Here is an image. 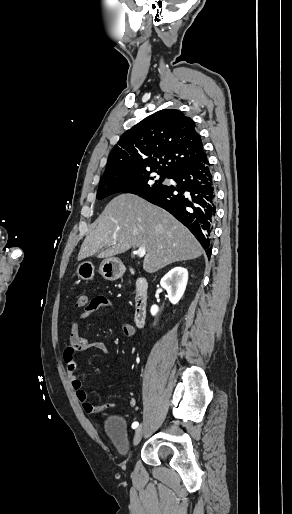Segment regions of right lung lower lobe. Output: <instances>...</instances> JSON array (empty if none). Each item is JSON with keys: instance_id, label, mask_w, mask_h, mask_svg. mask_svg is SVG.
Returning <instances> with one entry per match:
<instances>
[{"instance_id": "1", "label": "right lung lower lobe", "mask_w": 292, "mask_h": 514, "mask_svg": "<svg viewBox=\"0 0 292 514\" xmlns=\"http://www.w3.org/2000/svg\"><path fill=\"white\" fill-rule=\"evenodd\" d=\"M177 185H165L142 196L183 223L211 255L210 235L215 218V189L207 156L170 174Z\"/></svg>"}]
</instances>
